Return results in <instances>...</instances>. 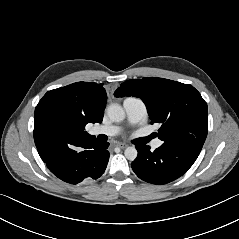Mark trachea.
<instances>
[{
	"instance_id": "trachea-1",
	"label": "trachea",
	"mask_w": 239,
	"mask_h": 239,
	"mask_svg": "<svg viewBox=\"0 0 239 239\" xmlns=\"http://www.w3.org/2000/svg\"><path fill=\"white\" fill-rule=\"evenodd\" d=\"M152 138H153L152 135H150L148 137L140 138L139 142H140V144H145V143L149 142Z\"/></svg>"
}]
</instances>
